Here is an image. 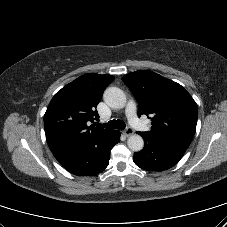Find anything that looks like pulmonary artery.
<instances>
[{"label": "pulmonary artery", "instance_id": "pulmonary-artery-1", "mask_svg": "<svg viewBox=\"0 0 227 227\" xmlns=\"http://www.w3.org/2000/svg\"><path fill=\"white\" fill-rule=\"evenodd\" d=\"M126 115L129 123L138 130H145L146 126L138 119L136 115V105L133 101H130L126 107Z\"/></svg>", "mask_w": 227, "mask_h": 227}]
</instances>
